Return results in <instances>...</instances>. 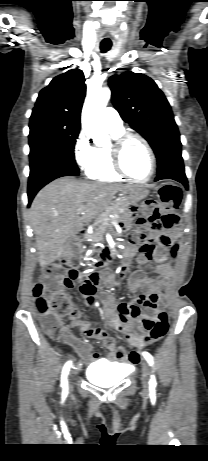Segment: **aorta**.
<instances>
[{
    "instance_id": "aorta-1",
    "label": "aorta",
    "mask_w": 208,
    "mask_h": 461,
    "mask_svg": "<svg viewBox=\"0 0 208 461\" xmlns=\"http://www.w3.org/2000/svg\"><path fill=\"white\" fill-rule=\"evenodd\" d=\"M109 88H100L87 94L82 110V128L97 146H105L109 137L103 124V111L110 99Z\"/></svg>"
}]
</instances>
